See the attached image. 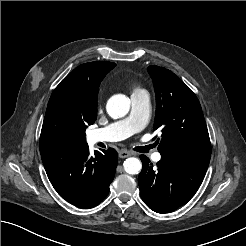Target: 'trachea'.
Instances as JSON below:
<instances>
[{"label": "trachea", "instance_id": "trachea-1", "mask_svg": "<svg viewBox=\"0 0 246 246\" xmlns=\"http://www.w3.org/2000/svg\"><path fill=\"white\" fill-rule=\"evenodd\" d=\"M135 150L138 151V152H142L143 151L142 147H137V148H135Z\"/></svg>", "mask_w": 246, "mask_h": 246}]
</instances>
